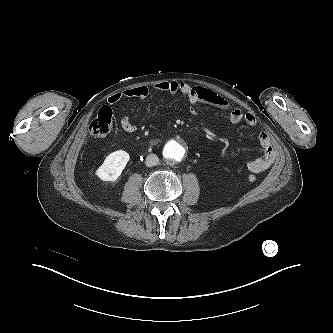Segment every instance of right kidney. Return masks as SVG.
<instances>
[{
	"instance_id": "right-kidney-1",
	"label": "right kidney",
	"mask_w": 333,
	"mask_h": 333,
	"mask_svg": "<svg viewBox=\"0 0 333 333\" xmlns=\"http://www.w3.org/2000/svg\"><path fill=\"white\" fill-rule=\"evenodd\" d=\"M129 158V154L123 150H117L109 154L103 164L96 170V175L102 181H115L121 175Z\"/></svg>"
}]
</instances>
